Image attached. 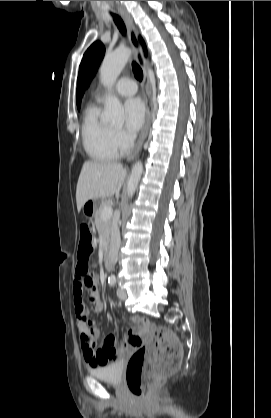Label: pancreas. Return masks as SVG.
Masks as SVG:
<instances>
[{
  "instance_id": "cf45deb5",
  "label": "pancreas",
  "mask_w": 271,
  "mask_h": 418,
  "mask_svg": "<svg viewBox=\"0 0 271 418\" xmlns=\"http://www.w3.org/2000/svg\"><path fill=\"white\" fill-rule=\"evenodd\" d=\"M108 205H110V202L107 201V200H104L100 204L99 208L97 209V211L94 215L95 225H96L97 231L100 235L103 236V238L106 242L109 241L113 223H112L111 219H108L106 221L102 220L101 214H102L103 209Z\"/></svg>"
}]
</instances>
